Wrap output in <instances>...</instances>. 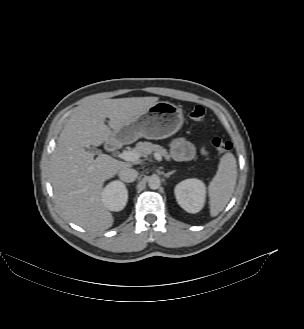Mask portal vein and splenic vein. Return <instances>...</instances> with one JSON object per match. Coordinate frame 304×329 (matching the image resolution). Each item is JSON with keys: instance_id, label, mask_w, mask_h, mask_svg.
<instances>
[{"instance_id": "portal-vein-and-splenic-vein-1", "label": "portal vein and splenic vein", "mask_w": 304, "mask_h": 329, "mask_svg": "<svg viewBox=\"0 0 304 329\" xmlns=\"http://www.w3.org/2000/svg\"><path fill=\"white\" fill-rule=\"evenodd\" d=\"M119 157L125 161H131V162H136L139 160V158L141 157V155L134 151H123L119 154ZM154 157L156 160L161 161L162 160V156L159 153H154Z\"/></svg>"}]
</instances>
